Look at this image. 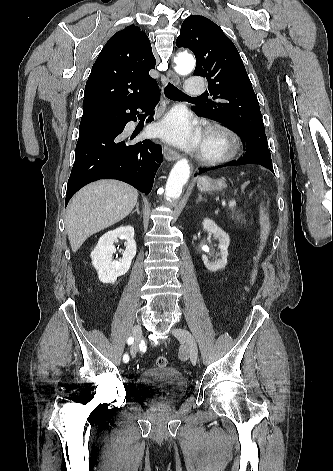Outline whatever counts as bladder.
<instances>
[{"mask_svg": "<svg viewBox=\"0 0 333 471\" xmlns=\"http://www.w3.org/2000/svg\"><path fill=\"white\" fill-rule=\"evenodd\" d=\"M187 388V379L178 369L157 366L145 369L136 379L133 389L141 400L173 404L185 395Z\"/></svg>", "mask_w": 333, "mask_h": 471, "instance_id": "1", "label": "bladder"}]
</instances>
